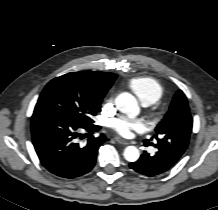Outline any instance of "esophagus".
Wrapping results in <instances>:
<instances>
[{
	"label": "esophagus",
	"instance_id": "34e87169",
	"mask_svg": "<svg viewBox=\"0 0 218 210\" xmlns=\"http://www.w3.org/2000/svg\"><path fill=\"white\" fill-rule=\"evenodd\" d=\"M115 139V141L116 142H118V143H120V144H123V145H128L129 144V142L127 141V140H125V139H123V138H121V137H115L114 138Z\"/></svg>",
	"mask_w": 218,
	"mask_h": 210
}]
</instances>
